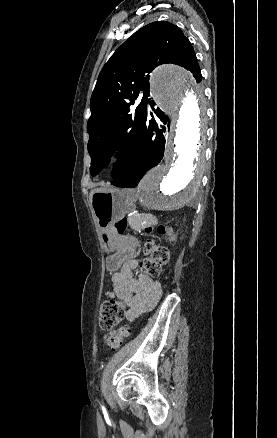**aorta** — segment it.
I'll list each match as a JSON object with an SVG mask.
<instances>
[{"label": "aorta", "instance_id": "aorta-1", "mask_svg": "<svg viewBox=\"0 0 277 438\" xmlns=\"http://www.w3.org/2000/svg\"><path fill=\"white\" fill-rule=\"evenodd\" d=\"M151 93L169 116L171 131L163 163L139 184L142 203L155 210H174L196 194L204 171L205 108L189 72L162 65L151 76Z\"/></svg>", "mask_w": 277, "mask_h": 438}]
</instances>
